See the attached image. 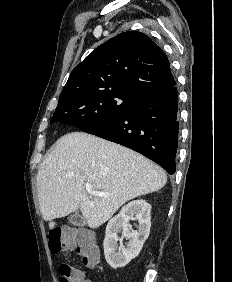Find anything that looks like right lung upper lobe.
<instances>
[{
	"instance_id": "1",
	"label": "right lung upper lobe",
	"mask_w": 232,
	"mask_h": 282,
	"mask_svg": "<svg viewBox=\"0 0 232 282\" xmlns=\"http://www.w3.org/2000/svg\"><path fill=\"white\" fill-rule=\"evenodd\" d=\"M175 83L162 49L141 32H124L95 49L70 74L63 101L106 90H129L140 96Z\"/></svg>"
}]
</instances>
